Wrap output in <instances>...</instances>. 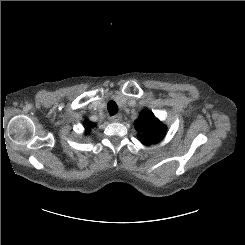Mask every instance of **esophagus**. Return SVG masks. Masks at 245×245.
<instances>
[{
    "mask_svg": "<svg viewBox=\"0 0 245 245\" xmlns=\"http://www.w3.org/2000/svg\"><path fill=\"white\" fill-rule=\"evenodd\" d=\"M111 120H112L113 122H120V121L122 120V114H121V113H118V114H116L115 116H112V117H111Z\"/></svg>",
    "mask_w": 245,
    "mask_h": 245,
    "instance_id": "esophagus-1",
    "label": "esophagus"
}]
</instances>
